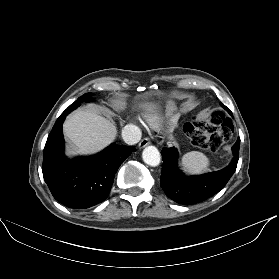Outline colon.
<instances>
[{"mask_svg": "<svg viewBox=\"0 0 279 279\" xmlns=\"http://www.w3.org/2000/svg\"><path fill=\"white\" fill-rule=\"evenodd\" d=\"M233 133V124L221 112L196 118L191 124L190 137L193 145L216 150L226 143Z\"/></svg>", "mask_w": 279, "mask_h": 279, "instance_id": "1", "label": "colon"}]
</instances>
